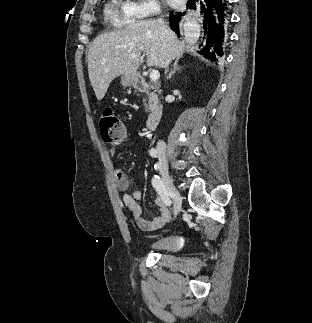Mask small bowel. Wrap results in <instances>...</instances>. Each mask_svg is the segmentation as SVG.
Segmentation results:
<instances>
[{
    "instance_id": "c3829d8e",
    "label": "small bowel",
    "mask_w": 312,
    "mask_h": 323,
    "mask_svg": "<svg viewBox=\"0 0 312 323\" xmlns=\"http://www.w3.org/2000/svg\"><path fill=\"white\" fill-rule=\"evenodd\" d=\"M116 147L109 149L110 155L116 154ZM114 179L120 191H122V200L124 205L130 211L132 220L137 226L145 232L155 231L165 226L171 218V210L160 199L156 200L159 207V216L154 219H146L142 216V208L138 201L141 198V193L138 190L129 191L130 180L126 173L120 169H114Z\"/></svg>"
}]
</instances>
